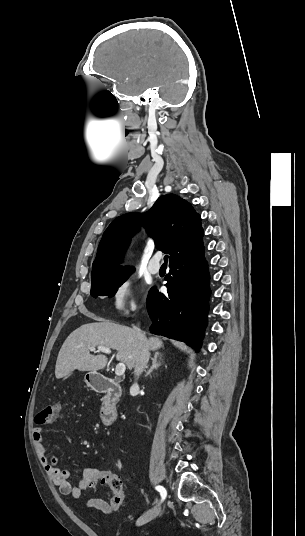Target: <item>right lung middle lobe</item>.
<instances>
[{"label": "right lung middle lobe", "instance_id": "1", "mask_svg": "<svg viewBox=\"0 0 305 536\" xmlns=\"http://www.w3.org/2000/svg\"><path fill=\"white\" fill-rule=\"evenodd\" d=\"M132 272L133 271L112 278L91 281V295L93 297H112L116 293L117 289L129 278Z\"/></svg>", "mask_w": 305, "mask_h": 536}]
</instances>
